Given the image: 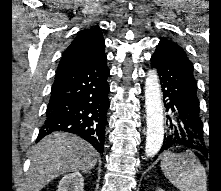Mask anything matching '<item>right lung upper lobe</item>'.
<instances>
[{"instance_id": "cb5924a9", "label": "right lung upper lobe", "mask_w": 221, "mask_h": 191, "mask_svg": "<svg viewBox=\"0 0 221 191\" xmlns=\"http://www.w3.org/2000/svg\"><path fill=\"white\" fill-rule=\"evenodd\" d=\"M104 46L105 42L98 26L88 31H80L64 52L57 71L86 62L107 59Z\"/></svg>"}]
</instances>
